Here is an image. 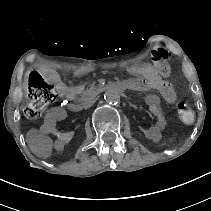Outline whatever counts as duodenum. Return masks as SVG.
Returning <instances> with one entry per match:
<instances>
[{"label":"duodenum","instance_id":"1","mask_svg":"<svg viewBox=\"0 0 211 211\" xmlns=\"http://www.w3.org/2000/svg\"><path fill=\"white\" fill-rule=\"evenodd\" d=\"M138 89V83L134 79L120 80L105 85L98 86L94 91L96 93H103L110 90H115L118 92L125 91H135ZM70 110L73 112H78L82 109V103L80 101H72L69 104Z\"/></svg>","mask_w":211,"mask_h":211}]
</instances>
